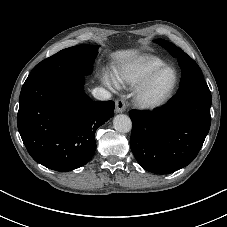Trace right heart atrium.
<instances>
[{
    "instance_id": "obj_1",
    "label": "right heart atrium",
    "mask_w": 227,
    "mask_h": 227,
    "mask_svg": "<svg viewBox=\"0 0 227 227\" xmlns=\"http://www.w3.org/2000/svg\"><path fill=\"white\" fill-rule=\"evenodd\" d=\"M103 81L108 87L112 89L116 88V82L113 79H111L109 76L104 75Z\"/></svg>"
}]
</instances>
